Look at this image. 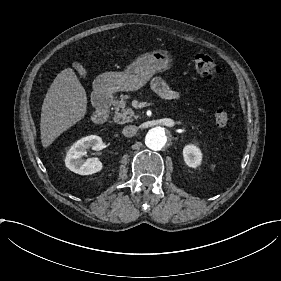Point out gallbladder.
Returning <instances> with one entry per match:
<instances>
[{
  "instance_id": "1",
  "label": "gallbladder",
  "mask_w": 281,
  "mask_h": 281,
  "mask_svg": "<svg viewBox=\"0 0 281 281\" xmlns=\"http://www.w3.org/2000/svg\"><path fill=\"white\" fill-rule=\"evenodd\" d=\"M74 71L78 72L79 76L86 78L88 76V73L86 69L82 68L81 64L76 63L73 66Z\"/></svg>"
}]
</instances>
